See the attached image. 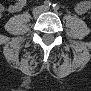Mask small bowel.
I'll return each mask as SVG.
<instances>
[{
    "mask_svg": "<svg viewBox=\"0 0 91 91\" xmlns=\"http://www.w3.org/2000/svg\"><path fill=\"white\" fill-rule=\"evenodd\" d=\"M26 5V1L25 0H17L15 1L13 4L9 5L7 7V11L8 12H18L20 10H22ZM90 2L85 0V1H81L80 3L77 4L76 6V11L79 14H84L86 13L89 9H90Z\"/></svg>",
    "mask_w": 91,
    "mask_h": 91,
    "instance_id": "1",
    "label": "small bowel"
}]
</instances>
